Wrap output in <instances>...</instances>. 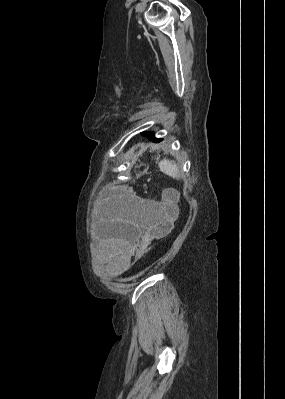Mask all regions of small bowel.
Here are the masks:
<instances>
[{"instance_id":"small-bowel-1","label":"small bowel","mask_w":285,"mask_h":399,"mask_svg":"<svg viewBox=\"0 0 285 399\" xmlns=\"http://www.w3.org/2000/svg\"><path fill=\"white\" fill-rule=\"evenodd\" d=\"M162 201H154L135 197L133 206L128 211L125 221L127 240L119 247L116 263L126 268L133 260L136 244L149 236L161 222L163 215L157 207L164 204Z\"/></svg>"}]
</instances>
